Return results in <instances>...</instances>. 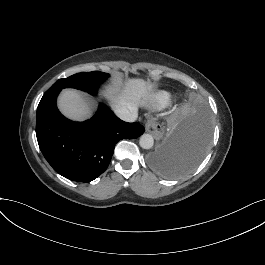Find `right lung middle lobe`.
Returning <instances> with one entry per match:
<instances>
[{
	"mask_svg": "<svg viewBox=\"0 0 265 265\" xmlns=\"http://www.w3.org/2000/svg\"><path fill=\"white\" fill-rule=\"evenodd\" d=\"M107 73L100 71L82 72L68 78L59 79L48 91L63 88H76L88 93H97V86L108 78Z\"/></svg>",
	"mask_w": 265,
	"mask_h": 265,
	"instance_id": "1",
	"label": "right lung middle lobe"
}]
</instances>
